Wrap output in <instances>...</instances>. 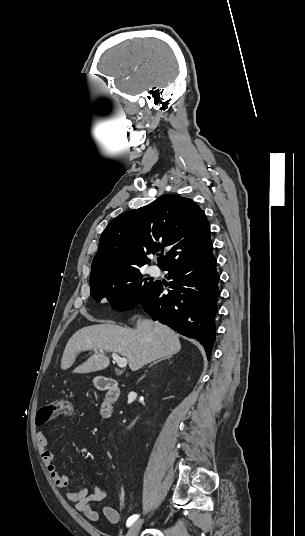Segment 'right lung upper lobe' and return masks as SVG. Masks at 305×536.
Wrapping results in <instances>:
<instances>
[{
  "label": "right lung upper lobe",
  "mask_w": 305,
  "mask_h": 536,
  "mask_svg": "<svg viewBox=\"0 0 305 536\" xmlns=\"http://www.w3.org/2000/svg\"><path fill=\"white\" fill-rule=\"evenodd\" d=\"M205 213L191 199L165 194L148 206L124 212L113 219L100 237L90 282L139 270L147 255L171 250L158 258V266L195 255L210 246ZM161 255V254H158Z\"/></svg>",
  "instance_id": "cb5924a9"
}]
</instances>
